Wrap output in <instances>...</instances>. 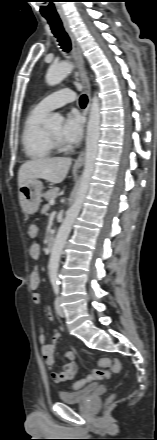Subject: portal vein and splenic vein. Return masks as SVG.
<instances>
[{
    "label": "portal vein and splenic vein",
    "mask_w": 157,
    "mask_h": 440,
    "mask_svg": "<svg viewBox=\"0 0 157 440\" xmlns=\"http://www.w3.org/2000/svg\"><path fill=\"white\" fill-rule=\"evenodd\" d=\"M55 201L52 199L50 200V205H54Z\"/></svg>",
    "instance_id": "1"
}]
</instances>
